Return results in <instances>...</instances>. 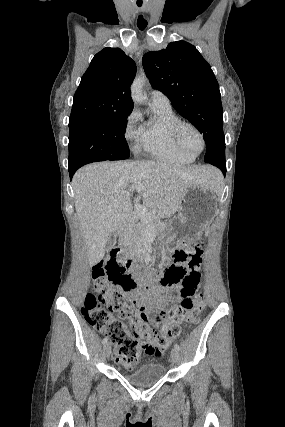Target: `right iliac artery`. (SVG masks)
<instances>
[{"label": "right iliac artery", "instance_id": "right-iliac-artery-1", "mask_svg": "<svg viewBox=\"0 0 285 427\" xmlns=\"http://www.w3.org/2000/svg\"><path fill=\"white\" fill-rule=\"evenodd\" d=\"M108 342V338L107 337H105L103 340H102V343L103 344H106Z\"/></svg>", "mask_w": 285, "mask_h": 427}]
</instances>
